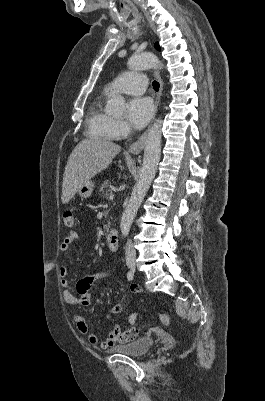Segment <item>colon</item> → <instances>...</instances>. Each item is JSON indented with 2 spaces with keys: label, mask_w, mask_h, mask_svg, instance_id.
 <instances>
[{
  "label": "colon",
  "mask_w": 265,
  "mask_h": 401,
  "mask_svg": "<svg viewBox=\"0 0 265 401\" xmlns=\"http://www.w3.org/2000/svg\"><path fill=\"white\" fill-rule=\"evenodd\" d=\"M64 224L67 228H73L75 225V218L72 212L67 211L64 213ZM138 317V313H133L129 316V322L131 324H134L136 319ZM159 320L162 324H168V317L165 314H159ZM138 334V329L136 327H133L129 330H127V336L133 340L134 338H136Z\"/></svg>",
  "instance_id": "obj_1"
}]
</instances>
